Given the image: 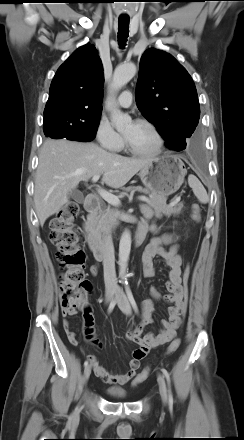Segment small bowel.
Returning a JSON list of instances; mask_svg holds the SVG:
<instances>
[{
	"instance_id": "obj_1",
	"label": "small bowel",
	"mask_w": 244,
	"mask_h": 440,
	"mask_svg": "<svg viewBox=\"0 0 244 440\" xmlns=\"http://www.w3.org/2000/svg\"><path fill=\"white\" fill-rule=\"evenodd\" d=\"M143 220L140 226L149 228L154 234L143 254L144 274L147 277L155 275L154 258H162L169 267V281L167 282L168 295L163 296L155 287L151 288V295L154 300L164 299L172 305L168 307L169 318L162 320V329L157 333L149 332L141 337L142 327L144 325L153 324V313L155 311V303L152 299L144 300L141 303L142 324L131 327L126 333V339L135 344L145 345L148 349L159 347L174 338L176 330L181 323V306L183 302L184 288L182 284V259L178 254V246L175 244L176 236L171 233L159 234V228L154 223V220L161 217V210L158 207L151 208L149 206L142 207ZM151 222V223H150ZM170 245L166 250L164 245ZM91 273L96 274L97 268L93 266ZM83 335L87 342L92 345L102 348L103 343L96 337L95 332V318L92 309L86 308L83 312ZM67 337L73 345H77L78 341L74 332L69 328V323L65 319L63 321ZM87 359L90 361L94 373L100 377L104 382L115 385H124L131 381L136 371L140 366V361L143 358L135 356L134 352L129 362V369L123 374H116L106 370L93 354H88Z\"/></svg>"
}]
</instances>
